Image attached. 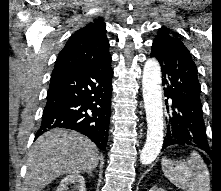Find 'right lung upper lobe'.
Returning <instances> with one entry per match:
<instances>
[{"label":"right lung upper lobe","mask_w":221,"mask_h":191,"mask_svg":"<svg viewBox=\"0 0 221 191\" xmlns=\"http://www.w3.org/2000/svg\"><path fill=\"white\" fill-rule=\"evenodd\" d=\"M111 62L106 24L102 19L75 32L60 52L52 76Z\"/></svg>","instance_id":"1"}]
</instances>
